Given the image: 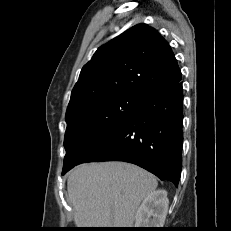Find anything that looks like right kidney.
Segmentation results:
<instances>
[{
	"label": "right kidney",
	"mask_w": 231,
	"mask_h": 231,
	"mask_svg": "<svg viewBox=\"0 0 231 231\" xmlns=\"http://www.w3.org/2000/svg\"><path fill=\"white\" fill-rule=\"evenodd\" d=\"M169 200L165 190L151 192L143 200L135 216L136 228H162L168 212Z\"/></svg>",
	"instance_id": "right-kidney-1"
}]
</instances>
